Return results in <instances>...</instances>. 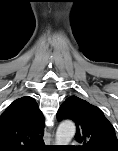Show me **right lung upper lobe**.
Masks as SVG:
<instances>
[{"instance_id":"right-lung-upper-lobe-1","label":"right lung upper lobe","mask_w":118,"mask_h":151,"mask_svg":"<svg viewBox=\"0 0 118 151\" xmlns=\"http://www.w3.org/2000/svg\"><path fill=\"white\" fill-rule=\"evenodd\" d=\"M44 116L32 97L11 103L0 116V151H30L43 144Z\"/></svg>"}]
</instances>
